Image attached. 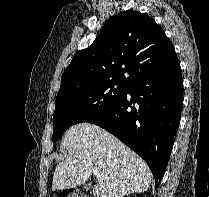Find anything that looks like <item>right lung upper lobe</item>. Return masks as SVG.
<instances>
[{
	"label": "right lung upper lobe",
	"mask_w": 209,
	"mask_h": 197,
	"mask_svg": "<svg viewBox=\"0 0 209 197\" xmlns=\"http://www.w3.org/2000/svg\"><path fill=\"white\" fill-rule=\"evenodd\" d=\"M176 55L163 29L147 14L123 11L79 51L63 73L60 89L78 83L117 80L131 85Z\"/></svg>",
	"instance_id": "obj_1"
}]
</instances>
